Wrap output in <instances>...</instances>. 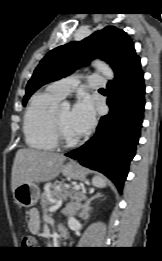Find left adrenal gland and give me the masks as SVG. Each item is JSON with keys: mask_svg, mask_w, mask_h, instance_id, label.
Returning a JSON list of instances; mask_svg holds the SVG:
<instances>
[{"mask_svg": "<svg viewBox=\"0 0 162 261\" xmlns=\"http://www.w3.org/2000/svg\"><path fill=\"white\" fill-rule=\"evenodd\" d=\"M102 196L101 193L97 192L95 195L91 196L90 198H87L86 195H81V199H78V200H85V205L83 206V210H82V213H81V216H85V217H89V211L91 210V208L89 207L90 203L98 198Z\"/></svg>", "mask_w": 162, "mask_h": 261, "instance_id": "obj_1", "label": "left adrenal gland"}]
</instances>
